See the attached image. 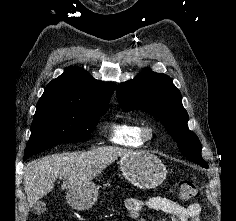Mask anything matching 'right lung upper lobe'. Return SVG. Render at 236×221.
Here are the masks:
<instances>
[{"label": "right lung upper lobe", "mask_w": 236, "mask_h": 221, "mask_svg": "<svg viewBox=\"0 0 236 221\" xmlns=\"http://www.w3.org/2000/svg\"><path fill=\"white\" fill-rule=\"evenodd\" d=\"M114 83H103L76 66H69L45 88L38 104H108Z\"/></svg>", "instance_id": "obj_1"}]
</instances>
